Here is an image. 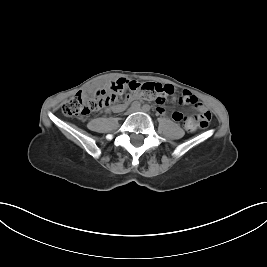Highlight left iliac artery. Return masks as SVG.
<instances>
[{
  "label": "left iliac artery",
  "instance_id": "1",
  "mask_svg": "<svg viewBox=\"0 0 267 267\" xmlns=\"http://www.w3.org/2000/svg\"><path fill=\"white\" fill-rule=\"evenodd\" d=\"M143 109H145L146 111H149L150 110V106L149 105H144Z\"/></svg>",
  "mask_w": 267,
  "mask_h": 267
}]
</instances>
